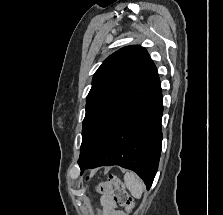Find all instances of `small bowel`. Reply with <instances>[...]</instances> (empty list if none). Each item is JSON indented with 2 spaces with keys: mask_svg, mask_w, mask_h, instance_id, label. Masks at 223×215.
<instances>
[{
  "mask_svg": "<svg viewBox=\"0 0 223 215\" xmlns=\"http://www.w3.org/2000/svg\"><path fill=\"white\" fill-rule=\"evenodd\" d=\"M100 191L103 194L102 205L107 215H125L122 211L118 210L117 204L112 199L110 184H101Z\"/></svg>",
  "mask_w": 223,
  "mask_h": 215,
  "instance_id": "c3829d8e",
  "label": "small bowel"
}]
</instances>
